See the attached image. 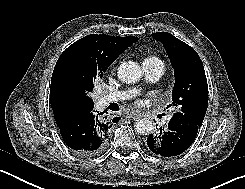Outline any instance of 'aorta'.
I'll return each instance as SVG.
<instances>
[{
    "label": "aorta",
    "instance_id": "aorta-1",
    "mask_svg": "<svg viewBox=\"0 0 245 189\" xmlns=\"http://www.w3.org/2000/svg\"><path fill=\"white\" fill-rule=\"evenodd\" d=\"M118 78L128 84L136 83L141 78L140 66L133 61L122 63L118 68ZM135 132L139 135H149L153 130V123L149 119L142 118L134 123Z\"/></svg>",
    "mask_w": 245,
    "mask_h": 189
}]
</instances>
